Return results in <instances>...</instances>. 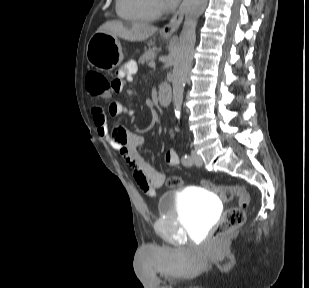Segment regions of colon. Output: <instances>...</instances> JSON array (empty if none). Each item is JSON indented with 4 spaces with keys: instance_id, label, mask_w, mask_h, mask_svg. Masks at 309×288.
Returning a JSON list of instances; mask_svg holds the SVG:
<instances>
[{
    "instance_id": "obj_1",
    "label": "colon",
    "mask_w": 309,
    "mask_h": 288,
    "mask_svg": "<svg viewBox=\"0 0 309 288\" xmlns=\"http://www.w3.org/2000/svg\"><path fill=\"white\" fill-rule=\"evenodd\" d=\"M86 88L91 95L104 100H108L115 93H119L122 90L119 83L109 82L98 72H90L87 75ZM166 185L170 188H179L182 186V179L178 176H171L166 180ZM202 185L214 192L224 202H229L233 199L238 200V206L228 208L212 231V240H220L230 231L244 224L246 216L244 209L249 204L250 196L248 191L239 184L216 185L209 181H203Z\"/></svg>"
}]
</instances>
